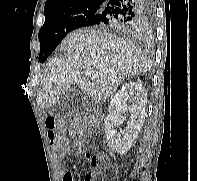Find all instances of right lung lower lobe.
<instances>
[{"label":"right lung lower lobe","instance_id":"1","mask_svg":"<svg viewBox=\"0 0 197 181\" xmlns=\"http://www.w3.org/2000/svg\"><path fill=\"white\" fill-rule=\"evenodd\" d=\"M154 16V0H109L82 27L101 25L126 32L142 31Z\"/></svg>","mask_w":197,"mask_h":181}]
</instances>
